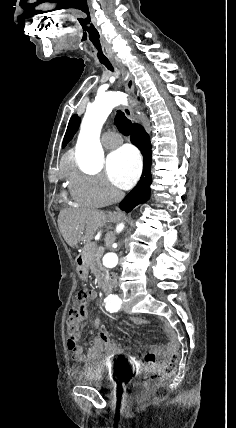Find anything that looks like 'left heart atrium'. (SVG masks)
Returning a JSON list of instances; mask_svg holds the SVG:
<instances>
[{"instance_id":"left-heart-atrium-1","label":"left heart atrium","mask_w":236,"mask_h":428,"mask_svg":"<svg viewBox=\"0 0 236 428\" xmlns=\"http://www.w3.org/2000/svg\"><path fill=\"white\" fill-rule=\"evenodd\" d=\"M109 179L122 189L131 188L141 174V159L138 152L130 146H122L111 153L106 160Z\"/></svg>"}]
</instances>
